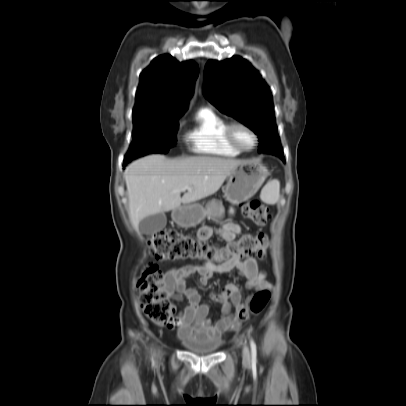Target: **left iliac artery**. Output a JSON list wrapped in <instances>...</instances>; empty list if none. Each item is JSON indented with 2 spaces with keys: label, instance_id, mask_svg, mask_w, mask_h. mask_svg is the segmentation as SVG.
Returning <instances> with one entry per match:
<instances>
[{
  "label": "left iliac artery",
  "instance_id": "44dca946",
  "mask_svg": "<svg viewBox=\"0 0 406 406\" xmlns=\"http://www.w3.org/2000/svg\"><path fill=\"white\" fill-rule=\"evenodd\" d=\"M250 347H251V357H252V362L257 361V348L254 340L250 338Z\"/></svg>",
  "mask_w": 406,
  "mask_h": 406
}]
</instances>
